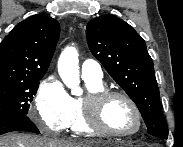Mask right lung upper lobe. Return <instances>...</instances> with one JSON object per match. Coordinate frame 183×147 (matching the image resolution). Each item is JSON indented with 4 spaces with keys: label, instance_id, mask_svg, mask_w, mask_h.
<instances>
[{
    "label": "right lung upper lobe",
    "instance_id": "right-lung-upper-lobe-1",
    "mask_svg": "<svg viewBox=\"0 0 183 147\" xmlns=\"http://www.w3.org/2000/svg\"><path fill=\"white\" fill-rule=\"evenodd\" d=\"M59 34L58 21L42 14L17 24L0 44V83L43 77Z\"/></svg>",
    "mask_w": 183,
    "mask_h": 147
}]
</instances>
